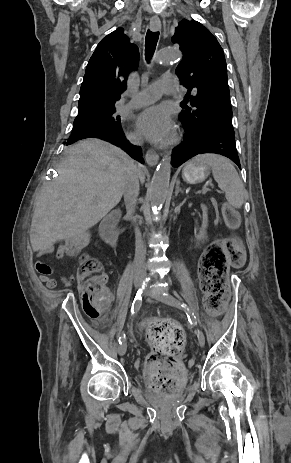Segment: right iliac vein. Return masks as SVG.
<instances>
[{
  "instance_id": "1",
  "label": "right iliac vein",
  "mask_w": 291,
  "mask_h": 463,
  "mask_svg": "<svg viewBox=\"0 0 291 463\" xmlns=\"http://www.w3.org/2000/svg\"><path fill=\"white\" fill-rule=\"evenodd\" d=\"M141 282H142V278L135 279V287L139 288ZM126 351H127V345L126 343L123 342L122 344L118 346V353L119 355L123 356L126 353Z\"/></svg>"
}]
</instances>
